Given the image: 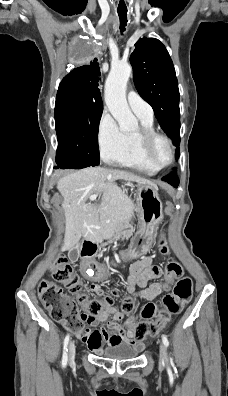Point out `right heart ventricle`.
I'll list each match as a JSON object with an SVG mask.
<instances>
[{
	"instance_id": "1",
	"label": "right heart ventricle",
	"mask_w": 228,
	"mask_h": 396,
	"mask_svg": "<svg viewBox=\"0 0 228 396\" xmlns=\"http://www.w3.org/2000/svg\"><path fill=\"white\" fill-rule=\"evenodd\" d=\"M141 126L154 129L153 118L138 115ZM113 163L137 170L141 173L152 175L158 170L150 166L143 158L135 134H126V145L122 153L114 160Z\"/></svg>"
}]
</instances>
